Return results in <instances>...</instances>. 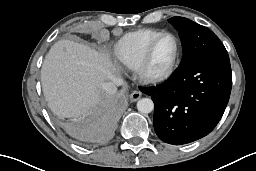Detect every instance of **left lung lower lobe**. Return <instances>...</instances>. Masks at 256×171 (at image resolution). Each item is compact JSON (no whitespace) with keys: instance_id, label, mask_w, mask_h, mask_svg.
Masks as SVG:
<instances>
[{"instance_id":"0a47b994","label":"left lung lower lobe","mask_w":256,"mask_h":171,"mask_svg":"<svg viewBox=\"0 0 256 171\" xmlns=\"http://www.w3.org/2000/svg\"><path fill=\"white\" fill-rule=\"evenodd\" d=\"M232 72L227 52L196 56L164 83L140 87L154 105V129L166 143L181 145L209 134L229 101Z\"/></svg>"}]
</instances>
